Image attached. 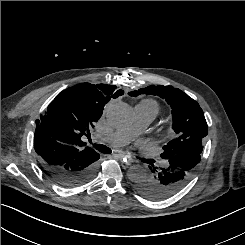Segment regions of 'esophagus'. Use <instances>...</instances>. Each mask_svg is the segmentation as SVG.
<instances>
[{
  "label": "esophagus",
  "instance_id": "34e87169",
  "mask_svg": "<svg viewBox=\"0 0 245 245\" xmlns=\"http://www.w3.org/2000/svg\"><path fill=\"white\" fill-rule=\"evenodd\" d=\"M114 157L123 160L127 165L133 162V159L126 154H114Z\"/></svg>",
  "mask_w": 245,
  "mask_h": 245
}]
</instances>
